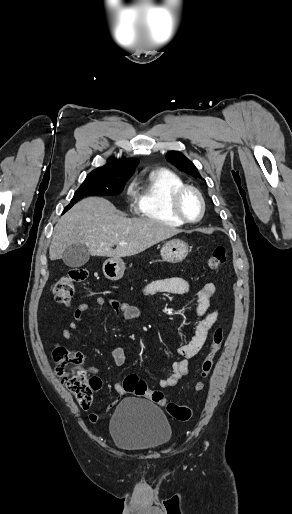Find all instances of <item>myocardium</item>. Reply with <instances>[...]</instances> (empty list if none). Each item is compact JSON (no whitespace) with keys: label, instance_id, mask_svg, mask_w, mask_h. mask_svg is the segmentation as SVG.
I'll use <instances>...</instances> for the list:
<instances>
[{"label":"myocardium","instance_id":"obj_1","mask_svg":"<svg viewBox=\"0 0 292 514\" xmlns=\"http://www.w3.org/2000/svg\"><path fill=\"white\" fill-rule=\"evenodd\" d=\"M187 191H190L193 194H195V196L197 197V199L199 201L200 212L196 219H189L188 217H186L181 212L180 207H179L180 197L184 192H187ZM167 202H168L169 212L172 214L173 217H175L177 220H179L182 223H186V224L197 223L203 218V216L205 214V201H204L203 195L198 188H196L195 186H192V185L182 184L181 186L174 188L169 193Z\"/></svg>","mask_w":292,"mask_h":514}]
</instances>
